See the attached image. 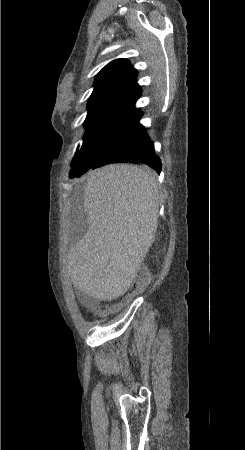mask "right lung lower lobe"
Returning <instances> with one entry per match:
<instances>
[{
    "instance_id": "1",
    "label": "right lung lower lobe",
    "mask_w": 245,
    "mask_h": 450,
    "mask_svg": "<svg viewBox=\"0 0 245 450\" xmlns=\"http://www.w3.org/2000/svg\"><path fill=\"white\" fill-rule=\"evenodd\" d=\"M134 161L145 163L158 173L161 172L162 165L160 159L155 155L152 142L141 124H138L134 135L130 140H128L117 150L104 153L90 168L94 169L109 163ZM86 171L87 170L76 173L70 178L80 177Z\"/></svg>"
}]
</instances>
